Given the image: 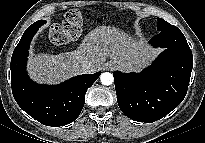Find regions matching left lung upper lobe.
I'll return each instance as SVG.
<instances>
[{
    "instance_id": "5c2ea615",
    "label": "left lung upper lobe",
    "mask_w": 205,
    "mask_h": 143,
    "mask_svg": "<svg viewBox=\"0 0 205 143\" xmlns=\"http://www.w3.org/2000/svg\"><path fill=\"white\" fill-rule=\"evenodd\" d=\"M158 20V24H157V30L159 32L161 31H171V30H176L178 29L176 26L169 24L168 22H166L165 20H163L162 18H157Z\"/></svg>"
}]
</instances>
